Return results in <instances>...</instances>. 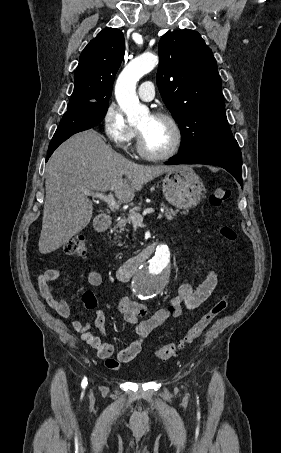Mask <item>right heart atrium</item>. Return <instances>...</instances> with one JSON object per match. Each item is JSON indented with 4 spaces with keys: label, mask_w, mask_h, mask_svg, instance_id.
I'll return each mask as SVG.
<instances>
[{
    "label": "right heart atrium",
    "mask_w": 281,
    "mask_h": 453,
    "mask_svg": "<svg viewBox=\"0 0 281 453\" xmlns=\"http://www.w3.org/2000/svg\"><path fill=\"white\" fill-rule=\"evenodd\" d=\"M119 90V91H117ZM123 98H127L129 92L128 83H124L116 93ZM102 123L107 136L118 148L127 146L136 136V129L131 126L126 120L123 113L115 105L108 106L102 116ZM112 168L115 172L121 173L123 171V157L120 153L113 152L111 154Z\"/></svg>",
    "instance_id": "1"
}]
</instances>
